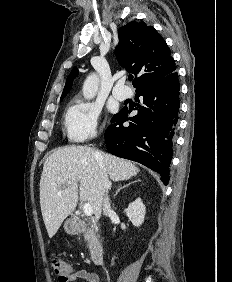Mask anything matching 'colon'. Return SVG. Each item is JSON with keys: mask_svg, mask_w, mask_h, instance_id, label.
Here are the masks:
<instances>
[{"mask_svg": "<svg viewBox=\"0 0 232 282\" xmlns=\"http://www.w3.org/2000/svg\"><path fill=\"white\" fill-rule=\"evenodd\" d=\"M50 264L54 275L60 282H66L68 276V267L65 262L56 254L50 256Z\"/></svg>", "mask_w": 232, "mask_h": 282, "instance_id": "1", "label": "colon"}]
</instances>
